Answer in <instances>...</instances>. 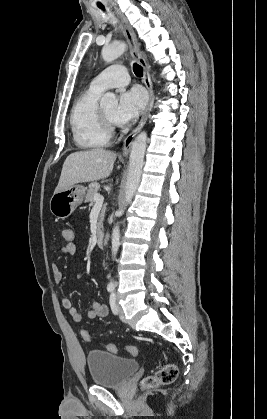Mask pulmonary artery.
<instances>
[{
	"label": "pulmonary artery",
	"instance_id": "e3ab8cb5",
	"mask_svg": "<svg viewBox=\"0 0 267 419\" xmlns=\"http://www.w3.org/2000/svg\"><path fill=\"white\" fill-rule=\"evenodd\" d=\"M130 78L128 71L123 65H112L97 75L90 84V87L105 91L109 88L120 87L128 84Z\"/></svg>",
	"mask_w": 267,
	"mask_h": 419
}]
</instances>
